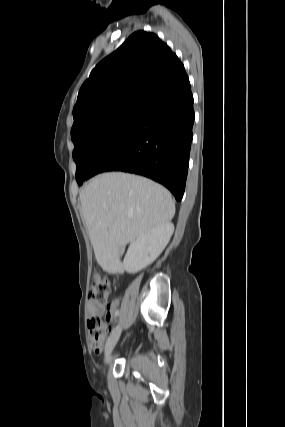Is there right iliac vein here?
I'll return each instance as SVG.
<instances>
[{
    "instance_id": "right-iliac-vein-1",
    "label": "right iliac vein",
    "mask_w": 285,
    "mask_h": 427,
    "mask_svg": "<svg viewBox=\"0 0 285 427\" xmlns=\"http://www.w3.org/2000/svg\"><path fill=\"white\" fill-rule=\"evenodd\" d=\"M121 331L122 329L119 325L113 329L105 349V358H104L105 362L109 360L110 354L120 338Z\"/></svg>"
}]
</instances>
